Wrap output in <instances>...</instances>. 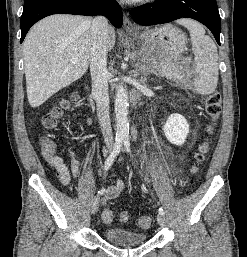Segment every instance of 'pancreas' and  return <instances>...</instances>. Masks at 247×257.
<instances>
[{
	"mask_svg": "<svg viewBox=\"0 0 247 257\" xmlns=\"http://www.w3.org/2000/svg\"><path fill=\"white\" fill-rule=\"evenodd\" d=\"M175 71L174 67L166 64V65H158L156 66L154 73L158 76H167L169 77Z\"/></svg>",
	"mask_w": 247,
	"mask_h": 257,
	"instance_id": "1",
	"label": "pancreas"
}]
</instances>
